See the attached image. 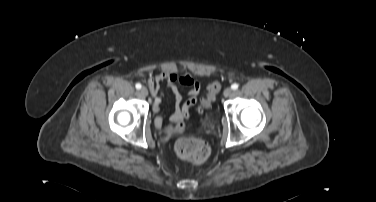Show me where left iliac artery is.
I'll use <instances>...</instances> for the list:
<instances>
[{"label":"left iliac artery","instance_id":"left-iliac-artery-1","mask_svg":"<svg viewBox=\"0 0 376 202\" xmlns=\"http://www.w3.org/2000/svg\"><path fill=\"white\" fill-rule=\"evenodd\" d=\"M231 88H232L233 90L238 89V84H237V83L232 84Z\"/></svg>","mask_w":376,"mask_h":202}]
</instances>
